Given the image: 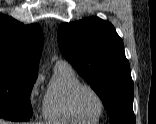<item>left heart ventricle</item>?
Masks as SVG:
<instances>
[{
  "label": "left heart ventricle",
  "instance_id": "obj_1",
  "mask_svg": "<svg viewBox=\"0 0 156 124\" xmlns=\"http://www.w3.org/2000/svg\"><path fill=\"white\" fill-rule=\"evenodd\" d=\"M78 106L87 119H95L100 113V103L98 99L88 91H84L80 94Z\"/></svg>",
  "mask_w": 156,
  "mask_h": 124
}]
</instances>
